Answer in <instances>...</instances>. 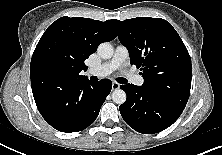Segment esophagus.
I'll return each instance as SVG.
<instances>
[{"label": "esophagus", "mask_w": 222, "mask_h": 155, "mask_svg": "<svg viewBox=\"0 0 222 155\" xmlns=\"http://www.w3.org/2000/svg\"><path fill=\"white\" fill-rule=\"evenodd\" d=\"M120 88V84L117 82H112V90H117Z\"/></svg>", "instance_id": "1"}]
</instances>
